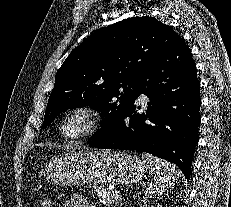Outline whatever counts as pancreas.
Masks as SVG:
<instances>
[{
	"label": "pancreas",
	"mask_w": 231,
	"mask_h": 207,
	"mask_svg": "<svg viewBox=\"0 0 231 207\" xmlns=\"http://www.w3.org/2000/svg\"><path fill=\"white\" fill-rule=\"evenodd\" d=\"M94 194L99 199L100 203L108 206L110 204H113L117 198V191L113 189H108L103 186L101 187H94Z\"/></svg>",
	"instance_id": "1"
}]
</instances>
